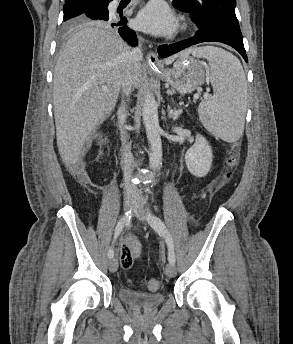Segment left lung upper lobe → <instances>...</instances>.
I'll return each mask as SVG.
<instances>
[{"label":"left lung upper lobe","mask_w":293,"mask_h":344,"mask_svg":"<svg viewBox=\"0 0 293 344\" xmlns=\"http://www.w3.org/2000/svg\"><path fill=\"white\" fill-rule=\"evenodd\" d=\"M172 4L192 14L199 28L217 29L243 40L235 15L236 0H173Z\"/></svg>","instance_id":"5c2ea615"}]
</instances>
